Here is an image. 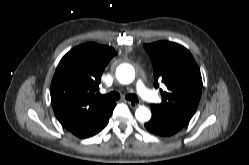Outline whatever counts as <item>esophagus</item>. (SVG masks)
I'll return each instance as SVG.
<instances>
[{
    "label": "esophagus",
    "mask_w": 249,
    "mask_h": 165,
    "mask_svg": "<svg viewBox=\"0 0 249 165\" xmlns=\"http://www.w3.org/2000/svg\"><path fill=\"white\" fill-rule=\"evenodd\" d=\"M128 105L131 107V108H137L139 106L138 103L136 102H133V101H127Z\"/></svg>",
    "instance_id": "1"
}]
</instances>
